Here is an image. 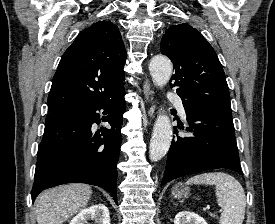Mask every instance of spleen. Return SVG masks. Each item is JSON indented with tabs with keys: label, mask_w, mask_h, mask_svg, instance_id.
Segmentation results:
<instances>
[{
	"label": "spleen",
	"mask_w": 275,
	"mask_h": 224,
	"mask_svg": "<svg viewBox=\"0 0 275 224\" xmlns=\"http://www.w3.org/2000/svg\"><path fill=\"white\" fill-rule=\"evenodd\" d=\"M187 185H215L218 205L223 212L220 224H242L245 216L246 197L241 184L231 175L223 172L202 173L190 177Z\"/></svg>",
	"instance_id": "1"
}]
</instances>
